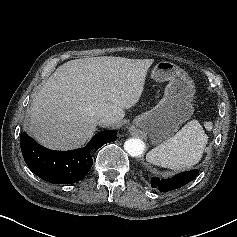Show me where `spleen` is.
Returning <instances> with one entry per match:
<instances>
[{
	"instance_id": "3e777b00",
	"label": "spleen",
	"mask_w": 237,
	"mask_h": 237,
	"mask_svg": "<svg viewBox=\"0 0 237 237\" xmlns=\"http://www.w3.org/2000/svg\"><path fill=\"white\" fill-rule=\"evenodd\" d=\"M205 127L212 129L211 122H205ZM207 141L202 125L198 120H192L175 136L152 149L147 159L150 163L165 168H190L201 160Z\"/></svg>"
}]
</instances>
